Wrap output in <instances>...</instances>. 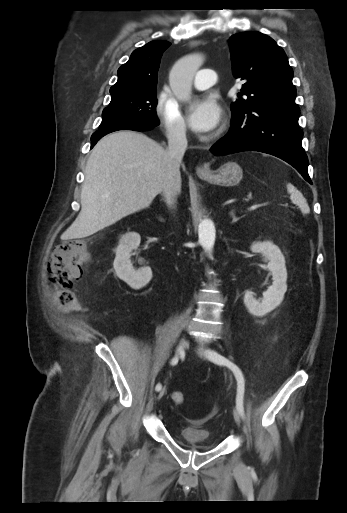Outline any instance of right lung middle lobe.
<instances>
[{
	"label": "right lung middle lobe",
	"mask_w": 347,
	"mask_h": 513,
	"mask_svg": "<svg viewBox=\"0 0 347 513\" xmlns=\"http://www.w3.org/2000/svg\"><path fill=\"white\" fill-rule=\"evenodd\" d=\"M111 95L110 104L103 110L99 129L121 123H137L150 127L159 125L156 115V88Z\"/></svg>",
	"instance_id": "dd1d6c3e"
}]
</instances>
